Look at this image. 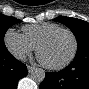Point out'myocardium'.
<instances>
[{
	"label": "myocardium",
	"mask_w": 89,
	"mask_h": 89,
	"mask_svg": "<svg viewBox=\"0 0 89 89\" xmlns=\"http://www.w3.org/2000/svg\"><path fill=\"white\" fill-rule=\"evenodd\" d=\"M59 32H67L71 36V38L73 40L72 52H71L70 56L60 64L51 65V64L45 63L40 58V50L45 43H47L54 35H56ZM77 51H78V40H77L75 33L71 29L64 28V27L57 28V29L47 33L44 37L41 38V40L38 42V44L36 46V55H37L38 60L44 67L51 69V70H60V69L67 67L69 64H71V62L76 57Z\"/></svg>",
	"instance_id": "1"
}]
</instances>
